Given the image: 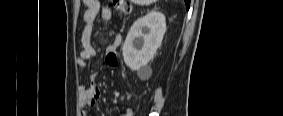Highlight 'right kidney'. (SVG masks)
Masks as SVG:
<instances>
[{"label":"right kidney","mask_w":283,"mask_h":116,"mask_svg":"<svg viewBox=\"0 0 283 116\" xmlns=\"http://www.w3.org/2000/svg\"><path fill=\"white\" fill-rule=\"evenodd\" d=\"M166 32L165 16L152 11L132 25L122 52L125 64L133 71L146 66L160 47Z\"/></svg>","instance_id":"right-kidney-1"}]
</instances>
